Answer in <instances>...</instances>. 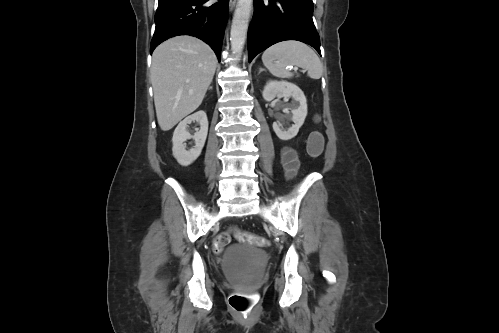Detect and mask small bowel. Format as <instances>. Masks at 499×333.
Segmentation results:
<instances>
[{
	"mask_svg": "<svg viewBox=\"0 0 499 333\" xmlns=\"http://www.w3.org/2000/svg\"><path fill=\"white\" fill-rule=\"evenodd\" d=\"M281 160L285 169L287 178H293L299 168V161L295 150L289 147H284L281 151Z\"/></svg>",
	"mask_w": 499,
	"mask_h": 333,
	"instance_id": "1",
	"label": "small bowel"
}]
</instances>
